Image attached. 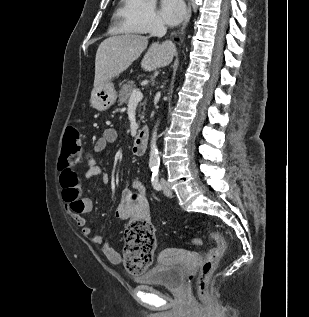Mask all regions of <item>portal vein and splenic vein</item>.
Wrapping results in <instances>:
<instances>
[{
  "label": "portal vein and splenic vein",
  "mask_w": 309,
  "mask_h": 317,
  "mask_svg": "<svg viewBox=\"0 0 309 317\" xmlns=\"http://www.w3.org/2000/svg\"><path fill=\"white\" fill-rule=\"evenodd\" d=\"M143 98V94L141 91L134 89L128 102V106L137 105Z\"/></svg>",
  "instance_id": "portal-vein-and-splenic-vein-1"
}]
</instances>
